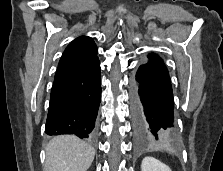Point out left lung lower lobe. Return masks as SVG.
I'll list each match as a JSON object with an SVG mask.
<instances>
[{"mask_svg": "<svg viewBox=\"0 0 223 171\" xmlns=\"http://www.w3.org/2000/svg\"><path fill=\"white\" fill-rule=\"evenodd\" d=\"M147 57L132 79L133 131L138 146L169 142L178 134L168 70L158 55Z\"/></svg>", "mask_w": 223, "mask_h": 171, "instance_id": "1", "label": "left lung lower lobe"}]
</instances>
